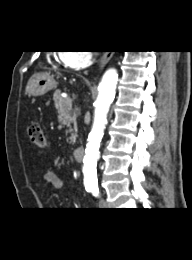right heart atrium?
Listing matches in <instances>:
<instances>
[{"mask_svg": "<svg viewBox=\"0 0 192 260\" xmlns=\"http://www.w3.org/2000/svg\"><path fill=\"white\" fill-rule=\"evenodd\" d=\"M91 53L87 51H67L61 55L62 62L69 68L79 69L91 61Z\"/></svg>", "mask_w": 192, "mask_h": 260, "instance_id": "d8ad5b80", "label": "right heart atrium"}]
</instances>
